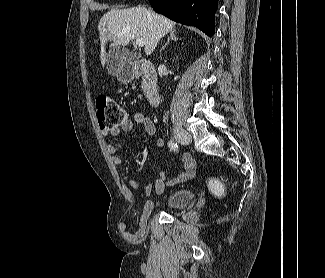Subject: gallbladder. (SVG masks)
<instances>
[{"instance_id":"gallbladder-1","label":"gallbladder","mask_w":325,"mask_h":278,"mask_svg":"<svg viewBox=\"0 0 325 278\" xmlns=\"http://www.w3.org/2000/svg\"><path fill=\"white\" fill-rule=\"evenodd\" d=\"M137 55L122 46L113 47L107 55V69L110 75L118 74L120 65L124 60H135Z\"/></svg>"}]
</instances>
